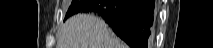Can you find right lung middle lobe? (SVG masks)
Listing matches in <instances>:
<instances>
[{"label": "right lung middle lobe", "instance_id": "right-lung-middle-lobe-1", "mask_svg": "<svg viewBox=\"0 0 213 48\" xmlns=\"http://www.w3.org/2000/svg\"><path fill=\"white\" fill-rule=\"evenodd\" d=\"M87 1L88 0H73L72 3H71V5H70V7H69V9H68V11H67V13H66V17H65L64 21L68 17H70V16H72L74 14L79 13L82 10L83 6L85 5V3Z\"/></svg>", "mask_w": 213, "mask_h": 48}]
</instances>
